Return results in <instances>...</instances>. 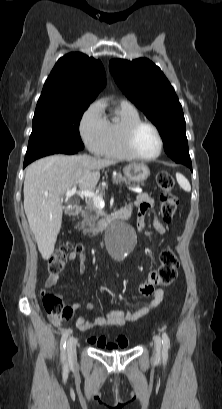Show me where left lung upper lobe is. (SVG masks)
Listing matches in <instances>:
<instances>
[{"mask_svg":"<svg viewBox=\"0 0 222 409\" xmlns=\"http://www.w3.org/2000/svg\"><path fill=\"white\" fill-rule=\"evenodd\" d=\"M109 69L126 97L158 128L167 155L174 161L190 158L182 106L160 68L139 58L112 59Z\"/></svg>","mask_w":222,"mask_h":409,"instance_id":"5c2ea615","label":"left lung upper lobe"}]
</instances>
